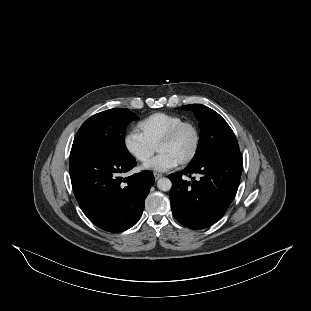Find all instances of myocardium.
Wrapping results in <instances>:
<instances>
[{"instance_id": "1", "label": "myocardium", "mask_w": 311, "mask_h": 311, "mask_svg": "<svg viewBox=\"0 0 311 311\" xmlns=\"http://www.w3.org/2000/svg\"><path fill=\"white\" fill-rule=\"evenodd\" d=\"M192 125L195 128L196 131V144L194 147L193 152L190 154V156H188L185 160H183L182 162H180V164L182 166H188L191 163H193L196 158L198 157L201 147H202V143H203V131H202V127L199 124V122L195 119H185L182 120L180 123H178L176 126H174L157 144V149L159 146L164 145V144H169L174 142L178 136L180 135V133L182 132V130L189 126Z\"/></svg>"}]
</instances>
